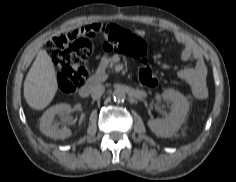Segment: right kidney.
Listing matches in <instances>:
<instances>
[{"instance_id": "obj_1", "label": "right kidney", "mask_w": 236, "mask_h": 182, "mask_svg": "<svg viewBox=\"0 0 236 182\" xmlns=\"http://www.w3.org/2000/svg\"><path fill=\"white\" fill-rule=\"evenodd\" d=\"M72 111L71 106L68 104H57L47 109L40 119L39 128L40 131L53 139H65L72 135L71 130L68 127L59 128L57 125H53V121L56 115L64 116L70 114Z\"/></svg>"}]
</instances>
